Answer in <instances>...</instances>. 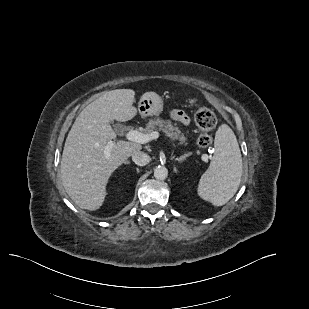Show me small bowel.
I'll return each instance as SVG.
<instances>
[{"label":"small bowel","instance_id":"obj_1","mask_svg":"<svg viewBox=\"0 0 309 309\" xmlns=\"http://www.w3.org/2000/svg\"><path fill=\"white\" fill-rule=\"evenodd\" d=\"M172 117L173 119H175L176 121L180 122L183 125L189 124L188 116L181 110H173Z\"/></svg>","mask_w":309,"mask_h":309}]
</instances>
